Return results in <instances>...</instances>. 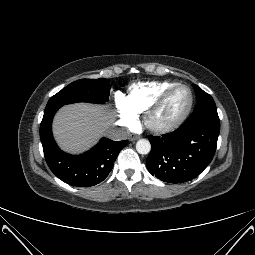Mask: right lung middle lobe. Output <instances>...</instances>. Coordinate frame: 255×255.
I'll list each match as a JSON object with an SVG mask.
<instances>
[{
	"mask_svg": "<svg viewBox=\"0 0 255 255\" xmlns=\"http://www.w3.org/2000/svg\"><path fill=\"white\" fill-rule=\"evenodd\" d=\"M110 81L107 79L77 80L52 96L46 108L61 107L76 102L103 104L109 99Z\"/></svg>",
	"mask_w": 255,
	"mask_h": 255,
	"instance_id": "dd1d6c3e",
	"label": "right lung middle lobe"
}]
</instances>
